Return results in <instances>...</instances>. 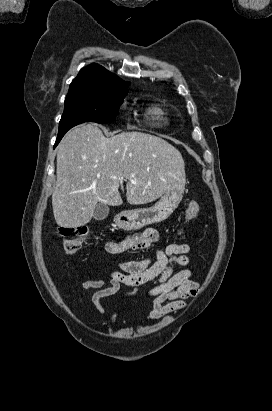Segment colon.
<instances>
[{"label": "colon", "instance_id": "colon-1", "mask_svg": "<svg viewBox=\"0 0 272 411\" xmlns=\"http://www.w3.org/2000/svg\"><path fill=\"white\" fill-rule=\"evenodd\" d=\"M199 204L192 200L185 208L184 216L187 222L193 220L199 212ZM58 234L63 237V247L67 254H75L79 251L84 241L90 234V229L86 225L76 227H59Z\"/></svg>", "mask_w": 272, "mask_h": 411}]
</instances>
